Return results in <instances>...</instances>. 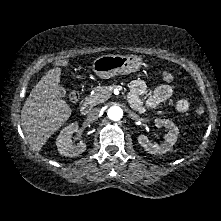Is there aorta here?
Wrapping results in <instances>:
<instances>
[{
  "label": "aorta",
  "instance_id": "obj_1",
  "mask_svg": "<svg viewBox=\"0 0 221 221\" xmlns=\"http://www.w3.org/2000/svg\"><path fill=\"white\" fill-rule=\"evenodd\" d=\"M107 115L109 119L118 121L123 117V110L121 107L113 105L107 110Z\"/></svg>",
  "mask_w": 221,
  "mask_h": 221
}]
</instances>
